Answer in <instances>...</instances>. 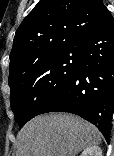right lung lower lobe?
Instances as JSON below:
<instances>
[{
    "label": "right lung lower lobe",
    "mask_w": 114,
    "mask_h": 156,
    "mask_svg": "<svg viewBox=\"0 0 114 156\" xmlns=\"http://www.w3.org/2000/svg\"><path fill=\"white\" fill-rule=\"evenodd\" d=\"M77 46L80 65L66 88L40 114L63 111L94 124L108 141L114 110V20L111 13Z\"/></svg>",
    "instance_id": "right-lung-lower-lobe-1"
}]
</instances>
